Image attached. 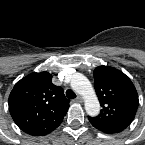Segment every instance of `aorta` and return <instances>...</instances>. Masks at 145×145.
I'll list each match as a JSON object with an SVG mask.
<instances>
[{
	"instance_id": "obj_1",
	"label": "aorta",
	"mask_w": 145,
	"mask_h": 145,
	"mask_svg": "<svg viewBox=\"0 0 145 145\" xmlns=\"http://www.w3.org/2000/svg\"><path fill=\"white\" fill-rule=\"evenodd\" d=\"M72 89L84 98L88 115L96 116L100 112V103L91 82L83 74L76 73L71 80Z\"/></svg>"
}]
</instances>
